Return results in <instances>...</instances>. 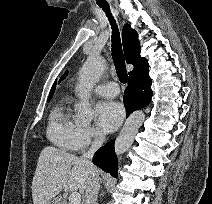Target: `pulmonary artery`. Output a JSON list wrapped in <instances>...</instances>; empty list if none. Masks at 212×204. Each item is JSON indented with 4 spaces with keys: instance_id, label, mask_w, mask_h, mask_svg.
Returning a JSON list of instances; mask_svg holds the SVG:
<instances>
[{
    "instance_id": "pulmonary-artery-1",
    "label": "pulmonary artery",
    "mask_w": 212,
    "mask_h": 204,
    "mask_svg": "<svg viewBox=\"0 0 212 204\" xmlns=\"http://www.w3.org/2000/svg\"><path fill=\"white\" fill-rule=\"evenodd\" d=\"M94 93L104 97H116L119 94V88L115 82H110L95 86Z\"/></svg>"
}]
</instances>
